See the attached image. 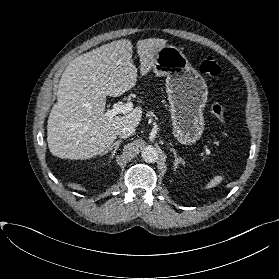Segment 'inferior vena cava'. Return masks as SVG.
<instances>
[{
	"label": "inferior vena cava",
	"mask_w": 279,
	"mask_h": 279,
	"mask_svg": "<svg viewBox=\"0 0 279 279\" xmlns=\"http://www.w3.org/2000/svg\"><path fill=\"white\" fill-rule=\"evenodd\" d=\"M135 130L134 126L126 125L119 131L118 135L120 138H128L135 133Z\"/></svg>",
	"instance_id": "1"
}]
</instances>
